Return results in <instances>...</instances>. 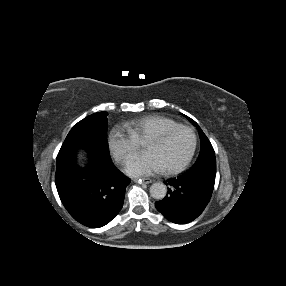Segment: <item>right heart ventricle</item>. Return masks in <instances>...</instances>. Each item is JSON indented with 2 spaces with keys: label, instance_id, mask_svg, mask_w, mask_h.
Instances as JSON below:
<instances>
[{
  "label": "right heart ventricle",
  "instance_id": "right-heart-ventricle-1",
  "mask_svg": "<svg viewBox=\"0 0 286 286\" xmlns=\"http://www.w3.org/2000/svg\"><path fill=\"white\" fill-rule=\"evenodd\" d=\"M124 126L138 142H141L158 132L178 127L180 124L165 116L148 115L127 122Z\"/></svg>",
  "mask_w": 286,
  "mask_h": 286
}]
</instances>
